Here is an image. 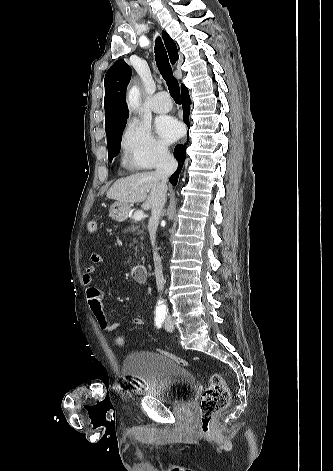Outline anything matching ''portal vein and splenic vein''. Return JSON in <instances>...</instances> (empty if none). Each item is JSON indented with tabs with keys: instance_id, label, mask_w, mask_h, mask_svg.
Returning a JSON list of instances; mask_svg holds the SVG:
<instances>
[{
	"instance_id": "obj_1",
	"label": "portal vein and splenic vein",
	"mask_w": 333,
	"mask_h": 471,
	"mask_svg": "<svg viewBox=\"0 0 333 471\" xmlns=\"http://www.w3.org/2000/svg\"><path fill=\"white\" fill-rule=\"evenodd\" d=\"M145 217L144 212L142 210H138L134 213L133 219L136 221H140Z\"/></svg>"
}]
</instances>
